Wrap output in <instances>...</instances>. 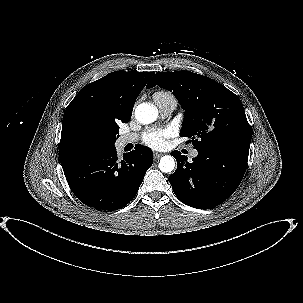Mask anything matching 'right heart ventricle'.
<instances>
[{
    "mask_svg": "<svg viewBox=\"0 0 303 303\" xmlns=\"http://www.w3.org/2000/svg\"><path fill=\"white\" fill-rule=\"evenodd\" d=\"M153 99H154V101L156 102L157 105H159L161 103H164V102H175V103H177L176 98L170 92H167V91H157V92H155L154 95H153Z\"/></svg>",
    "mask_w": 303,
    "mask_h": 303,
    "instance_id": "e07e8e85",
    "label": "right heart ventricle"
}]
</instances>
